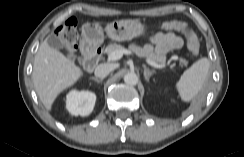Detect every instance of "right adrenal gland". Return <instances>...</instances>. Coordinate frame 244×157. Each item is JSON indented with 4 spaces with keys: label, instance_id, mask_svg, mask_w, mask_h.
Returning a JSON list of instances; mask_svg holds the SVG:
<instances>
[{
    "label": "right adrenal gland",
    "instance_id": "1",
    "mask_svg": "<svg viewBox=\"0 0 244 157\" xmlns=\"http://www.w3.org/2000/svg\"><path fill=\"white\" fill-rule=\"evenodd\" d=\"M90 79L96 81L97 83H101L103 81V79H99L97 77H91Z\"/></svg>",
    "mask_w": 244,
    "mask_h": 157
}]
</instances>
